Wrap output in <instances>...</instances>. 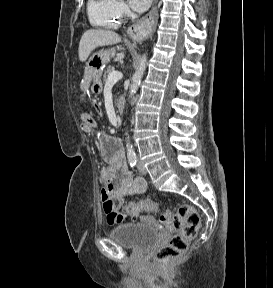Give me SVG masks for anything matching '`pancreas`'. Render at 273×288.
I'll list each match as a JSON object with an SVG mask.
<instances>
[{
  "label": "pancreas",
  "mask_w": 273,
  "mask_h": 288,
  "mask_svg": "<svg viewBox=\"0 0 273 288\" xmlns=\"http://www.w3.org/2000/svg\"><path fill=\"white\" fill-rule=\"evenodd\" d=\"M113 71H115V68H114L113 66H109V67L104 71V73H103V82H106V81H107L108 75H109L111 72H113Z\"/></svg>",
  "instance_id": "pancreas-1"
}]
</instances>
